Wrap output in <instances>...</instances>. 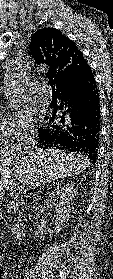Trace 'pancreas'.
<instances>
[{"instance_id": "cf45deb5", "label": "pancreas", "mask_w": 113, "mask_h": 279, "mask_svg": "<svg viewBox=\"0 0 113 279\" xmlns=\"http://www.w3.org/2000/svg\"><path fill=\"white\" fill-rule=\"evenodd\" d=\"M20 206V201L15 197L12 198L9 203H7L5 205L6 208H8V210H12V209H16Z\"/></svg>"}]
</instances>
